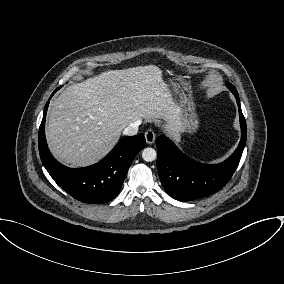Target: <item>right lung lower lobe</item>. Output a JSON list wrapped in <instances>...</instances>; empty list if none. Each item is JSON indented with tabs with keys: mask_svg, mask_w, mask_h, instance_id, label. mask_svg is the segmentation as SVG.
Masks as SVG:
<instances>
[{
	"mask_svg": "<svg viewBox=\"0 0 284 284\" xmlns=\"http://www.w3.org/2000/svg\"><path fill=\"white\" fill-rule=\"evenodd\" d=\"M48 105L49 101L45 105L39 128L38 146L41 161L50 176L64 191L79 201L102 204L114 199L120 192L133 159L145 147L144 135L123 138L105 158L92 166L68 168L56 161L48 150L45 138Z\"/></svg>",
	"mask_w": 284,
	"mask_h": 284,
	"instance_id": "1",
	"label": "right lung lower lobe"
}]
</instances>
